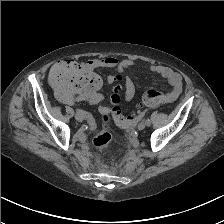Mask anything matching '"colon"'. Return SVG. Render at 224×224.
I'll return each mask as SVG.
<instances>
[{
  "label": "colon",
  "mask_w": 224,
  "mask_h": 224,
  "mask_svg": "<svg viewBox=\"0 0 224 224\" xmlns=\"http://www.w3.org/2000/svg\"><path fill=\"white\" fill-rule=\"evenodd\" d=\"M115 85L110 96L111 115L115 123L121 128H129L135 123L136 113H131L124 117L121 112V98L119 81L121 76L115 77ZM49 81L54 87L58 98L65 104L72 105L79 101L93 100L101 87V78L84 65L72 60H62L56 63L50 70ZM167 102L166 94L159 91L150 90L143 95L142 104L146 106H156ZM110 116H102V127L92 139L93 144L98 148L107 147L112 135L109 130Z\"/></svg>",
  "instance_id": "colon-1"
}]
</instances>
